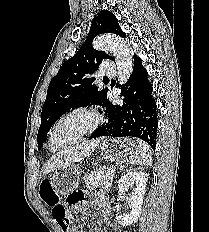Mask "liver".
I'll list each match as a JSON object with an SVG mask.
<instances>
[{
  "instance_id": "liver-1",
  "label": "liver",
  "mask_w": 209,
  "mask_h": 232,
  "mask_svg": "<svg viewBox=\"0 0 209 232\" xmlns=\"http://www.w3.org/2000/svg\"><path fill=\"white\" fill-rule=\"evenodd\" d=\"M99 140L73 145L67 149L62 150L54 157H52L44 167V174H48L56 169L72 165L75 162L83 160L89 156L99 145Z\"/></svg>"
}]
</instances>
